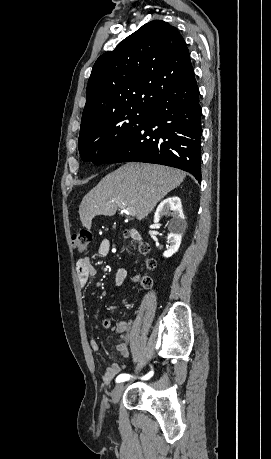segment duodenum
Listing matches in <instances>:
<instances>
[{
    "label": "duodenum",
    "instance_id": "1",
    "mask_svg": "<svg viewBox=\"0 0 271 459\" xmlns=\"http://www.w3.org/2000/svg\"><path fill=\"white\" fill-rule=\"evenodd\" d=\"M130 235L133 239L140 240V235L136 230L134 229L130 230Z\"/></svg>",
    "mask_w": 271,
    "mask_h": 459
}]
</instances>
